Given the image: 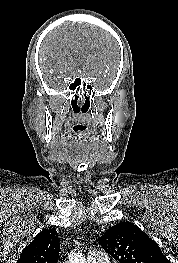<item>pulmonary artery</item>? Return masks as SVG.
<instances>
[{"label":"pulmonary artery","instance_id":"pulmonary-artery-1","mask_svg":"<svg viewBox=\"0 0 178 263\" xmlns=\"http://www.w3.org/2000/svg\"><path fill=\"white\" fill-rule=\"evenodd\" d=\"M88 263H110V262L105 253L97 250H92L88 253Z\"/></svg>","mask_w":178,"mask_h":263}]
</instances>
